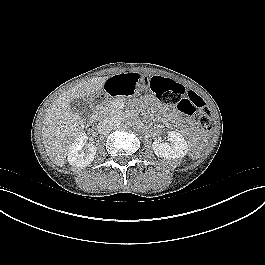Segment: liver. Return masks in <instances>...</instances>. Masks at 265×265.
Listing matches in <instances>:
<instances>
[{"label":"liver","instance_id":"6515ba94","mask_svg":"<svg viewBox=\"0 0 265 265\" xmlns=\"http://www.w3.org/2000/svg\"><path fill=\"white\" fill-rule=\"evenodd\" d=\"M108 77H96L81 82L58 97L45 115L42 137L46 152L57 166L66 164L71 143L83 132L84 119L71 110V102L96 95Z\"/></svg>","mask_w":265,"mask_h":265}]
</instances>
